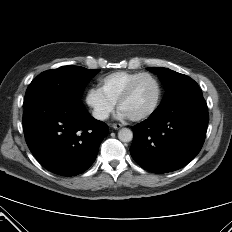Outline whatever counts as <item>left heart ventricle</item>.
Listing matches in <instances>:
<instances>
[{"label":"left heart ventricle","mask_w":232,"mask_h":232,"mask_svg":"<svg viewBox=\"0 0 232 232\" xmlns=\"http://www.w3.org/2000/svg\"><path fill=\"white\" fill-rule=\"evenodd\" d=\"M157 96V86L148 77L140 79L135 86L132 96L122 104L121 110L129 117L138 116L148 111Z\"/></svg>","instance_id":"1"}]
</instances>
